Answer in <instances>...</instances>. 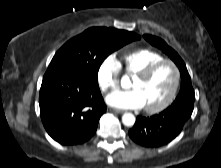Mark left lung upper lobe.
Listing matches in <instances>:
<instances>
[{
    "label": "left lung upper lobe",
    "mask_w": 221,
    "mask_h": 168,
    "mask_svg": "<svg viewBox=\"0 0 221 168\" xmlns=\"http://www.w3.org/2000/svg\"><path fill=\"white\" fill-rule=\"evenodd\" d=\"M144 38L152 45L158 47L164 53H166L178 66L181 73V89L176 99L184 96L195 97L194 90L191 84L190 75L187 71L186 65L184 64L180 56L171 47H169L162 39L152 35H144Z\"/></svg>",
    "instance_id": "5c2ea615"
}]
</instances>
